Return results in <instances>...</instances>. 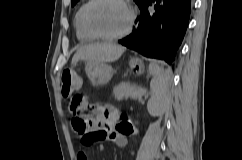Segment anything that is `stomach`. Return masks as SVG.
<instances>
[{
  "mask_svg": "<svg viewBox=\"0 0 242 160\" xmlns=\"http://www.w3.org/2000/svg\"><path fill=\"white\" fill-rule=\"evenodd\" d=\"M129 64L137 75L144 73V64L140 59L132 58ZM85 71L92 86L105 85L113 76L112 67L105 62H87Z\"/></svg>",
  "mask_w": 242,
  "mask_h": 160,
  "instance_id": "obj_1",
  "label": "stomach"
}]
</instances>
